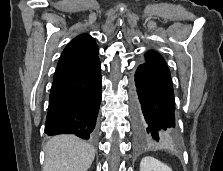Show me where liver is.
Masks as SVG:
<instances>
[{"instance_id": "obj_1", "label": "liver", "mask_w": 223, "mask_h": 171, "mask_svg": "<svg viewBox=\"0 0 223 171\" xmlns=\"http://www.w3.org/2000/svg\"><path fill=\"white\" fill-rule=\"evenodd\" d=\"M44 151L43 171H87L95 157V149L73 135L51 138Z\"/></svg>"}]
</instances>
